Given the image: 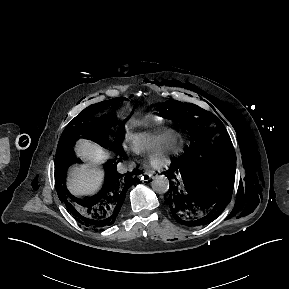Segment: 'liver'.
Instances as JSON below:
<instances>
[{
	"label": "liver",
	"instance_id": "obj_1",
	"mask_svg": "<svg viewBox=\"0 0 289 289\" xmlns=\"http://www.w3.org/2000/svg\"><path fill=\"white\" fill-rule=\"evenodd\" d=\"M77 153L88 163L71 168L68 177V189L77 196H86L95 193L102 182V172L95 166L106 158V152L96 143L81 140Z\"/></svg>",
	"mask_w": 289,
	"mask_h": 289
}]
</instances>
